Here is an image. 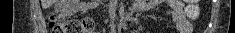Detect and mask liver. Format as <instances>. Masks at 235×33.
Masks as SVG:
<instances>
[{
  "mask_svg": "<svg viewBox=\"0 0 235 33\" xmlns=\"http://www.w3.org/2000/svg\"><path fill=\"white\" fill-rule=\"evenodd\" d=\"M54 3H55V0H41V5L43 9L49 8Z\"/></svg>",
  "mask_w": 235,
  "mask_h": 33,
  "instance_id": "liver-1",
  "label": "liver"
}]
</instances>
